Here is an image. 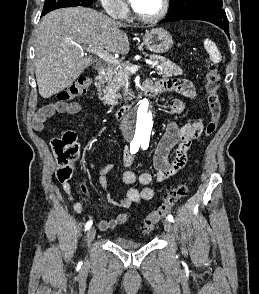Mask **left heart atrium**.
I'll return each instance as SVG.
<instances>
[{
    "mask_svg": "<svg viewBox=\"0 0 259 294\" xmlns=\"http://www.w3.org/2000/svg\"><path fill=\"white\" fill-rule=\"evenodd\" d=\"M140 0H130L131 5L133 6V8L135 9V7L138 5Z\"/></svg>",
    "mask_w": 259,
    "mask_h": 294,
    "instance_id": "39dd6f15",
    "label": "left heart atrium"
}]
</instances>
